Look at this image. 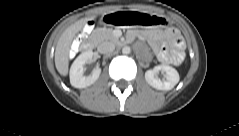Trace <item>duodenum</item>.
<instances>
[{
    "label": "duodenum",
    "instance_id": "duodenum-1",
    "mask_svg": "<svg viewBox=\"0 0 239 136\" xmlns=\"http://www.w3.org/2000/svg\"><path fill=\"white\" fill-rule=\"evenodd\" d=\"M84 39H85V34L82 33L75 38L74 44L76 47H80L83 50L88 51L92 48L93 42L91 40L84 41Z\"/></svg>",
    "mask_w": 239,
    "mask_h": 136
}]
</instances>
